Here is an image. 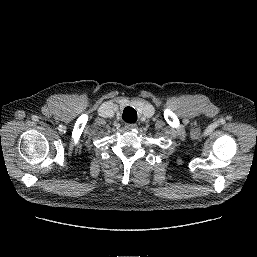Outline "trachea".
Here are the masks:
<instances>
[{"label":"trachea","instance_id":"obj_1","mask_svg":"<svg viewBox=\"0 0 257 257\" xmlns=\"http://www.w3.org/2000/svg\"><path fill=\"white\" fill-rule=\"evenodd\" d=\"M122 119L127 123H134L137 121V112L134 108L127 106L122 115Z\"/></svg>","mask_w":257,"mask_h":257}]
</instances>
